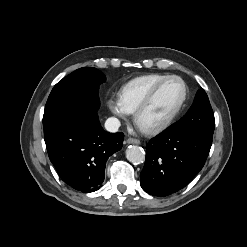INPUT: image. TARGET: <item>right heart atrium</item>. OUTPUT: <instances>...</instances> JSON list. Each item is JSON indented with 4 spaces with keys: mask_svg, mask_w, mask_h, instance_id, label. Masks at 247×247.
<instances>
[{
    "mask_svg": "<svg viewBox=\"0 0 247 247\" xmlns=\"http://www.w3.org/2000/svg\"><path fill=\"white\" fill-rule=\"evenodd\" d=\"M107 106L109 110L116 116L120 118H126L128 113L126 110L123 108L119 98L111 97L107 101Z\"/></svg>",
    "mask_w": 247,
    "mask_h": 247,
    "instance_id": "1",
    "label": "right heart atrium"
}]
</instances>
